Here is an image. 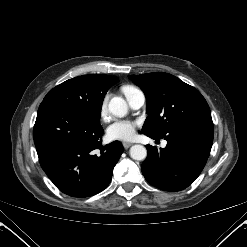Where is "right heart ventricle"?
<instances>
[{"label":"right heart ventricle","mask_w":247,"mask_h":247,"mask_svg":"<svg viewBox=\"0 0 247 247\" xmlns=\"http://www.w3.org/2000/svg\"><path fill=\"white\" fill-rule=\"evenodd\" d=\"M121 90H122L123 94H124L125 96H127V95L130 94L131 92L135 91L136 88L133 87V86H130V85H124V86H122Z\"/></svg>","instance_id":"e07e8e85"}]
</instances>
